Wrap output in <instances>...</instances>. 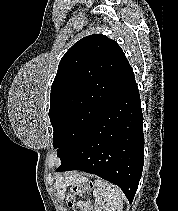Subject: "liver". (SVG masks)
Masks as SVG:
<instances>
[{"mask_svg":"<svg viewBox=\"0 0 178 211\" xmlns=\"http://www.w3.org/2000/svg\"><path fill=\"white\" fill-rule=\"evenodd\" d=\"M76 178H77L76 174H65L63 176H60L56 180V188H57L58 192H60L66 186H69L70 184H72Z\"/></svg>","mask_w":178,"mask_h":211,"instance_id":"liver-1","label":"liver"}]
</instances>
